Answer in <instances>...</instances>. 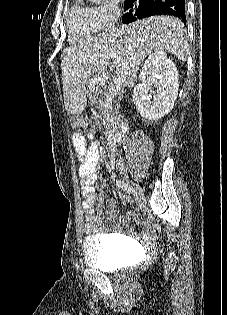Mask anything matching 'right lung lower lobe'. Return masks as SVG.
Segmentation results:
<instances>
[{"mask_svg":"<svg viewBox=\"0 0 227 315\" xmlns=\"http://www.w3.org/2000/svg\"><path fill=\"white\" fill-rule=\"evenodd\" d=\"M153 15H172L185 23V0H127L124 3L122 23H131Z\"/></svg>","mask_w":227,"mask_h":315,"instance_id":"98d812e1","label":"right lung lower lobe"}]
</instances>
